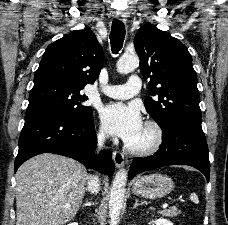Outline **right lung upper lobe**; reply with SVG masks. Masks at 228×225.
Returning a JSON list of instances; mask_svg holds the SVG:
<instances>
[{
	"label": "right lung upper lobe",
	"mask_w": 228,
	"mask_h": 225,
	"mask_svg": "<svg viewBox=\"0 0 228 225\" xmlns=\"http://www.w3.org/2000/svg\"><path fill=\"white\" fill-rule=\"evenodd\" d=\"M103 62L102 47L92 30H75L46 48L34 85L61 82L84 88L95 82Z\"/></svg>",
	"instance_id": "1"
}]
</instances>
